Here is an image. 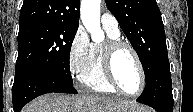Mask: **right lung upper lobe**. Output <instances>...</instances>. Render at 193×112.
I'll use <instances>...</instances> for the list:
<instances>
[{
    "instance_id": "right-lung-upper-lobe-1",
    "label": "right lung upper lobe",
    "mask_w": 193,
    "mask_h": 112,
    "mask_svg": "<svg viewBox=\"0 0 193 112\" xmlns=\"http://www.w3.org/2000/svg\"><path fill=\"white\" fill-rule=\"evenodd\" d=\"M37 24L79 26V0H24L19 30Z\"/></svg>"
}]
</instances>
